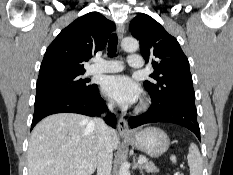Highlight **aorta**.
<instances>
[{
  "label": "aorta",
  "mask_w": 233,
  "mask_h": 175,
  "mask_svg": "<svg viewBox=\"0 0 233 175\" xmlns=\"http://www.w3.org/2000/svg\"><path fill=\"white\" fill-rule=\"evenodd\" d=\"M121 47L126 52H136L139 48V42L134 38H125L121 42ZM118 175H130L129 168L126 164H122Z\"/></svg>",
  "instance_id": "1"
}]
</instances>
